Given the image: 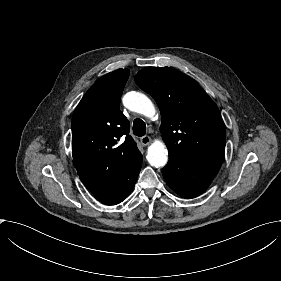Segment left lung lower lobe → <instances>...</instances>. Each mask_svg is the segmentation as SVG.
<instances>
[{
	"instance_id": "left-lung-lower-lobe-1",
	"label": "left lung lower lobe",
	"mask_w": 281,
	"mask_h": 281,
	"mask_svg": "<svg viewBox=\"0 0 281 281\" xmlns=\"http://www.w3.org/2000/svg\"><path fill=\"white\" fill-rule=\"evenodd\" d=\"M220 167V163L189 162L169 156L162 173L174 192L183 198H195L208 188Z\"/></svg>"
}]
</instances>
